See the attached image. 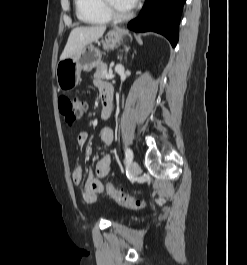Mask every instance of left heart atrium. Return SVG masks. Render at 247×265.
Instances as JSON below:
<instances>
[{
  "instance_id": "39dd6f15",
  "label": "left heart atrium",
  "mask_w": 247,
  "mask_h": 265,
  "mask_svg": "<svg viewBox=\"0 0 247 265\" xmlns=\"http://www.w3.org/2000/svg\"><path fill=\"white\" fill-rule=\"evenodd\" d=\"M122 4H124L127 8H132L138 0H119Z\"/></svg>"
}]
</instances>
